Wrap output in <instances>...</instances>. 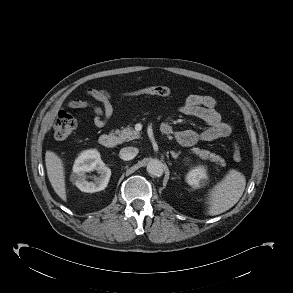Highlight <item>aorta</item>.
<instances>
[{
	"label": "aorta",
	"instance_id": "obj_1",
	"mask_svg": "<svg viewBox=\"0 0 293 293\" xmlns=\"http://www.w3.org/2000/svg\"><path fill=\"white\" fill-rule=\"evenodd\" d=\"M147 172L153 177H161L164 173V165L157 159H152L147 164Z\"/></svg>",
	"mask_w": 293,
	"mask_h": 293
}]
</instances>
